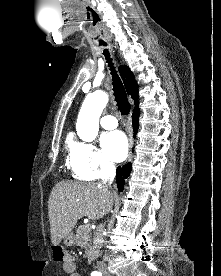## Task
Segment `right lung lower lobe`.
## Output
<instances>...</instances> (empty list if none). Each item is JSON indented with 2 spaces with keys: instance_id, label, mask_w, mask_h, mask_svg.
Segmentation results:
<instances>
[{
  "instance_id": "98d812e1",
  "label": "right lung lower lobe",
  "mask_w": 221,
  "mask_h": 276,
  "mask_svg": "<svg viewBox=\"0 0 221 276\" xmlns=\"http://www.w3.org/2000/svg\"><path fill=\"white\" fill-rule=\"evenodd\" d=\"M139 120V108H135L133 110L132 114V122H133V128L134 132H137L138 129V122ZM131 171V163H127L123 167H118L116 170V179H117V186L120 191L124 189V183H125V178H127L130 174Z\"/></svg>"
}]
</instances>
